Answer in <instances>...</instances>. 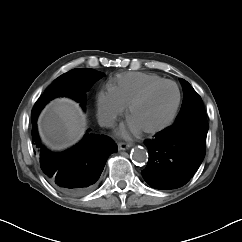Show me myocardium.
Segmentation results:
<instances>
[{
	"instance_id": "obj_1",
	"label": "myocardium",
	"mask_w": 242,
	"mask_h": 242,
	"mask_svg": "<svg viewBox=\"0 0 242 242\" xmlns=\"http://www.w3.org/2000/svg\"><path fill=\"white\" fill-rule=\"evenodd\" d=\"M173 85L177 91V101L176 104L174 106V109L171 113V115L169 116V118L160 126L155 127V128H150V129H143L140 130L141 133L145 134V135H155L157 133H160L162 131H164L165 129L169 128L175 121L180 106H181V102H182V94H181V90L179 88V86L177 85V83H175L174 81L171 80H162L160 82L154 83L150 86H148L145 90H143L137 97H135L130 104L128 105V109H127V116L130 119L131 114L133 112V110L140 105L141 103H143L150 95L153 91H155L157 88H159L162 85Z\"/></svg>"
}]
</instances>
